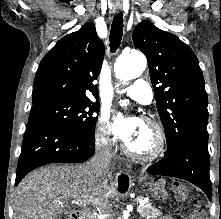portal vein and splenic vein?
Returning a JSON list of instances; mask_svg holds the SVG:
<instances>
[{
	"label": "portal vein and splenic vein",
	"instance_id": "1",
	"mask_svg": "<svg viewBox=\"0 0 221 219\" xmlns=\"http://www.w3.org/2000/svg\"><path fill=\"white\" fill-rule=\"evenodd\" d=\"M74 203L76 204V205H85L87 202L85 201V200H77V201H74ZM141 205H143V203L141 202L140 203ZM140 210V207L138 206L137 207V211H139Z\"/></svg>",
	"mask_w": 221,
	"mask_h": 219
}]
</instances>
